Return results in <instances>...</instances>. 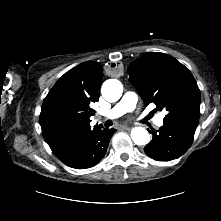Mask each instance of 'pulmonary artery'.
<instances>
[{
	"label": "pulmonary artery",
	"instance_id": "obj_1",
	"mask_svg": "<svg viewBox=\"0 0 221 221\" xmlns=\"http://www.w3.org/2000/svg\"><path fill=\"white\" fill-rule=\"evenodd\" d=\"M138 97L134 92H126L122 99L110 110L102 112L101 115L105 119H115L127 112H131L135 109L137 105ZM164 115L159 114L153 118L156 125H163Z\"/></svg>",
	"mask_w": 221,
	"mask_h": 221
}]
</instances>
